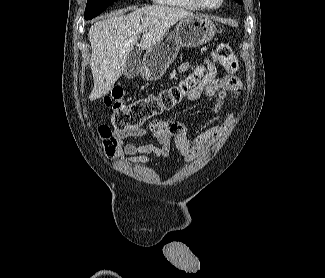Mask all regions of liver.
Returning a JSON list of instances; mask_svg holds the SVG:
<instances>
[{"instance_id": "1", "label": "liver", "mask_w": 325, "mask_h": 278, "mask_svg": "<svg viewBox=\"0 0 325 278\" xmlns=\"http://www.w3.org/2000/svg\"><path fill=\"white\" fill-rule=\"evenodd\" d=\"M127 8L90 27L88 37L92 48L90 68L94 86L90 101L109 93L124 73L126 59L142 33L140 47L147 50L156 45L176 22L195 16L178 7L161 5Z\"/></svg>"}]
</instances>
